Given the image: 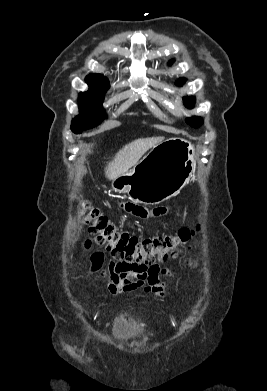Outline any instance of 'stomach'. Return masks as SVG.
Segmentation results:
<instances>
[{
	"label": "stomach",
	"mask_w": 267,
	"mask_h": 391,
	"mask_svg": "<svg viewBox=\"0 0 267 391\" xmlns=\"http://www.w3.org/2000/svg\"><path fill=\"white\" fill-rule=\"evenodd\" d=\"M195 167L191 143L172 138L153 147L133 169L116 178L112 188L136 203L158 204L178 195Z\"/></svg>",
	"instance_id": "1"
}]
</instances>
